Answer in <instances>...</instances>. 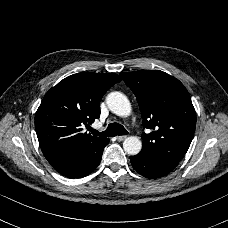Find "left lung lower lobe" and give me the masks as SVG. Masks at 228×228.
I'll return each mask as SVG.
<instances>
[{
    "instance_id": "0a47b994",
    "label": "left lung lower lobe",
    "mask_w": 228,
    "mask_h": 228,
    "mask_svg": "<svg viewBox=\"0 0 228 228\" xmlns=\"http://www.w3.org/2000/svg\"><path fill=\"white\" fill-rule=\"evenodd\" d=\"M133 168L147 178H160L169 174L179 162L149 158L141 153L130 157Z\"/></svg>"
}]
</instances>
